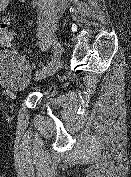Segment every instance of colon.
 Listing matches in <instances>:
<instances>
[{"label":"colon","mask_w":131,"mask_h":177,"mask_svg":"<svg viewBox=\"0 0 131 177\" xmlns=\"http://www.w3.org/2000/svg\"><path fill=\"white\" fill-rule=\"evenodd\" d=\"M12 33L9 28V20L3 18L0 20V47L10 45Z\"/></svg>","instance_id":"1"}]
</instances>
